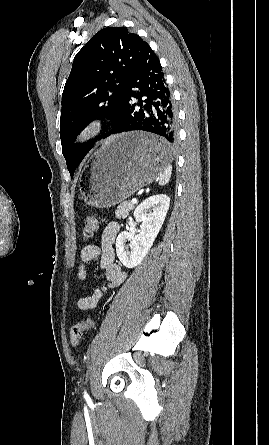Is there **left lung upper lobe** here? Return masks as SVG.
<instances>
[{
  "label": "left lung upper lobe",
  "instance_id": "5c2ea615",
  "mask_svg": "<svg viewBox=\"0 0 269 445\" xmlns=\"http://www.w3.org/2000/svg\"><path fill=\"white\" fill-rule=\"evenodd\" d=\"M148 44L126 27L98 31L76 54L62 94L60 138L67 168L73 177L93 147L74 144L81 130L97 117L113 122L122 113L128 81Z\"/></svg>",
  "mask_w": 269,
  "mask_h": 445
}]
</instances>
